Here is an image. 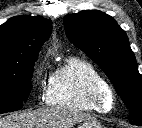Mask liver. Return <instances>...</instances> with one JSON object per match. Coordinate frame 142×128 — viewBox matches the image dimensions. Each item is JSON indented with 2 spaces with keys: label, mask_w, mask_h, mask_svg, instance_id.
<instances>
[{
  "label": "liver",
  "mask_w": 142,
  "mask_h": 128,
  "mask_svg": "<svg viewBox=\"0 0 142 128\" xmlns=\"http://www.w3.org/2000/svg\"><path fill=\"white\" fill-rule=\"evenodd\" d=\"M90 115L61 107L40 108L0 118V128H72Z\"/></svg>",
  "instance_id": "6515ba94"
}]
</instances>
